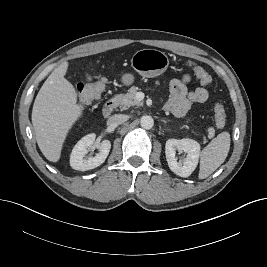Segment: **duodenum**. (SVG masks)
<instances>
[{
  "label": "duodenum",
  "instance_id": "obj_1",
  "mask_svg": "<svg viewBox=\"0 0 267 267\" xmlns=\"http://www.w3.org/2000/svg\"><path fill=\"white\" fill-rule=\"evenodd\" d=\"M117 106V99L112 97L108 99L103 106V115L104 117H109Z\"/></svg>",
  "mask_w": 267,
  "mask_h": 267
}]
</instances>
